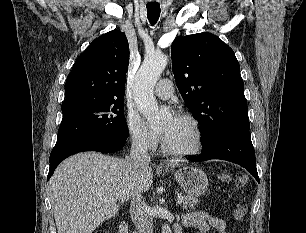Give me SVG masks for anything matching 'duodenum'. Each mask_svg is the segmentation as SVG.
I'll list each match as a JSON object with an SVG mask.
<instances>
[{"label": "duodenum", "instance_id": "410a0bca", "mask_svg": "<svg viewBox=\"0 0 306 233\" xmlns=\"http://www.w3.org/2000/svg\"><path fill=\"white\" fill-rule=\"evenodd\" d=\"M119 233H129L128 225L126 222H121L119 225ZM175 233H181L180 232V227L176 226L175 227Z\"/></svg>", "mask_w": 306, "mask_h": 233}]
</instances>
